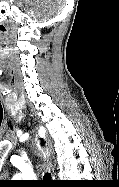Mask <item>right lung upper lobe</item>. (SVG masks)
<instances>
[{
	"label": "right lung upper lobe",
	"instance_id": "obj_1",
	"mask_svg": "<svg viewBox=\"0 0 119 187\" xmlns=\"http://www.w3.org/2000/svg\"><path fill=\"white\" fill-rule=\"evenodd\" d=\"M43 143H44V142H43V139H41V144L43 145Z\"/></svg>",
	"mask_w": 119,
	"mask_h": 187
}]
</instances>
